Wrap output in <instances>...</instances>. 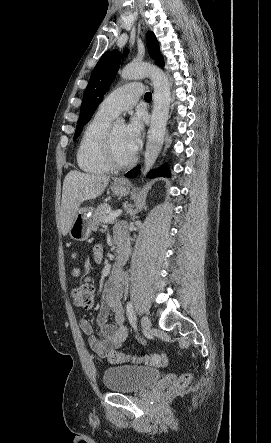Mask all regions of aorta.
<instances>
[{
	"instance_id": "aorta-1",
	"label": "aorta",
	"mask_w": 271,
	"mask_h": 443,
	"mask_svg": "<svg viewBox=\"0 0 271 443\" xmlns=\"http://www.w3.org/2000/svg\"><path fill=\"white\" fill-rule=\"evenodd\" d=\"M123 80H133V78H150L153 88V110L144 154L143 176H147L153 168L163 146L166 126L169 120V110L171 104V86L163 70L151 64H128L121 72ZM117 124L125 122L123 118L116 120Z\"/></svg>"
}]
</instances>
